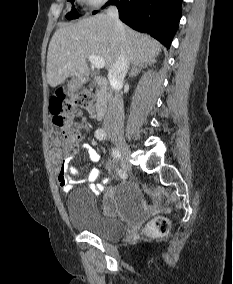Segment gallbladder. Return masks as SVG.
<instances>
[{
  "instance_id": "obj_1",
  "label": "gallbladder",
  "mask_w": 233,
  "mask_h": 284,
  "mask_svg": "<svg viewBox=\"0 0 233 284\" xmlns=\"http://www.w3.org/2000/svg\"><path fill=\"white\" fill-rule=\"evenodd\" d=\"M90 85H91V86H94V83L92 82Z\"/></svg>"
}]
</instances>
